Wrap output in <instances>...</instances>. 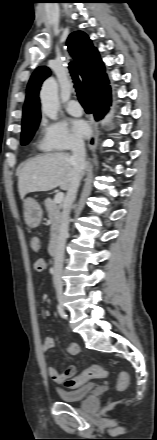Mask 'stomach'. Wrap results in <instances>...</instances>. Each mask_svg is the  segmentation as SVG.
Here are the masks:
<instances>
[{"label":"stomach","instance_id":"1","mask_svg":"<svg viewBox=\"0 0 157 440\" xmlns=\"http://www.w3.org/2000/svg\"><path fill=\"white\" fill-rule=\"evenodd\" d=\"M24 219L26 224L30 228H36L39 226L42 219V208L32 198H27L23 201Z\"/></svg>","mask_w":157,"mask_h":440}]
</instances>
